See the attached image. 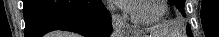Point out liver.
<instances>
[{"instance_id":"6515ba94","label":"liver","mask_w":219,"mask_h":37,"mask_svg":"<svg viewBox=\"0 0 219 37\" xmlns=\"http://www.w3.org/2000/svg\"><path fill=\"white\" fill-rule=\"evenodd\" d=\"M54 35L61 36V35H65V34H63V33H56ZM69 35H72V37H77L76 34H69Z\"/></svg>"}]
</instances>
